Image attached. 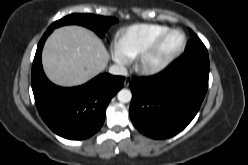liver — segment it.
<instances>
[{"mask_svg": "<svg viewBox=\"0 0 248 165\" xmlns=\"http://www.w3.org/2000/svg\"><path fill=\"white\" fill-rule=\"evenodd\" d=\"M109 54L92 31L81 26H64L48 37L42 63L47 77L63 87L86 83L105 70Z\"/></svg>", "mask_w": 248, "mask_h": 165, "instance_id": "obj_1", "label": "liver"}]
</instances>
